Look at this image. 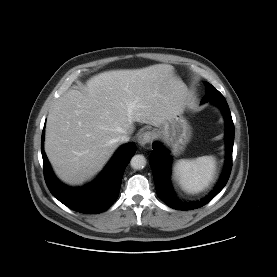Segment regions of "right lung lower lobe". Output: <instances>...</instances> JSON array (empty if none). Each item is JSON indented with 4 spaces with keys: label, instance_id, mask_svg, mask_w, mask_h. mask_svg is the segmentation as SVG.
Masks as SVG:
<instances>
[{
    "label": "right lung lower lobe",
    "instance_id": "obj_1",
    "mask_svg": "<svg viewBox=\"0 0 277 277\" xmlns=\"http://www.w3.org/2000/svg\"><path fill=\"white\" fill-rule=\"evenodd\" d=\"M44 177L52 195L67 207L85 214H97L107 210L117 199L123 173L136 152L135 143L123 145L110 160L101 174L90 184L81 188H70L61 183L53 174L43 149Z\"/></svg>",
    "mask_w": 277,
    "mask_h": 277
}]
</instances>
